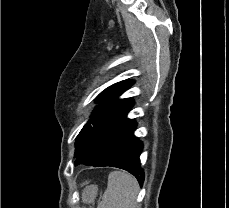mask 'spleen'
<instances>
[{
	"instance_id": "3e777b00",
	"label": "spleen",
	"mask_w": 229,
	"mask_h": 208,
	"mask_svg": "<svg viewBox=\"0 0 229 208\" xmlns=\"http://www.w3.org/2000/svg\"><path fill=\"white\" fill-rule=\"evenodd\" d=\"M139 184L127 172H110L107 190L98 208H139L136 198Z\"/></svg>"
}]
</instances>
